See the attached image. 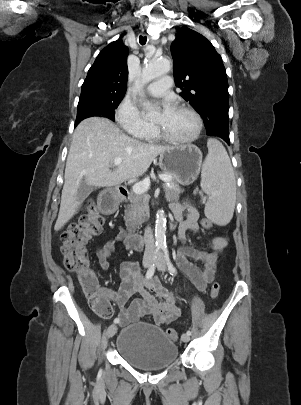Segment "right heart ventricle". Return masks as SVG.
<instances>
[{
  "instance_id": "e07e8e85",
  "label": "right heart ventricle",
  "mask_w": 301,
  "mask_h": 405,
  "mask_svg": "<svg viewBox=\"0 0 301 405\" xmlns=\"http://www.w3.org/2000/svg\"><path fill=\"white\" fill-rule=\"evenodd\" d=\"M138 137L146 141H155L159 139V136L156 134L153 128H150L148 131L138 135Z\"/></svg>"
}]
</instances>
